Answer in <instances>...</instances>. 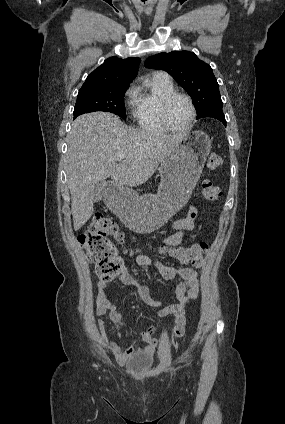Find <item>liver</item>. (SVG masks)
I'll use <instances>...</instances> for the list:
<instances>
[{"label": "liver", "mask_w": 285, "mask_h": 424, "mask_svg": "<svg viewBox=\"0 0 285 424\" xmlns=\"http://www.w3.org/2000/svg\"><path fill=\"white\" fill-rule=\"evenodd\" d=\"M183 134L141 131L125 125L107 112L79 116L68 135L66 174L71 193L74 230L78 231L94 212V185L111 177L118 189L139 186L156 172ZM124 153L116 163V156Z\"/></svg>", "instance_id": "obj_1"}]
</instances>
